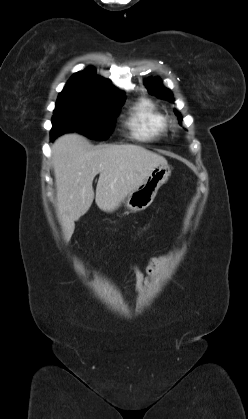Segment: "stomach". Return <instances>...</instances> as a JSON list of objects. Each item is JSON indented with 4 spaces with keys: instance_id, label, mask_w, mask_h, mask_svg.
I'll return each mask as SVG.
<instances>
[{
    "instance_id": "stomach-1",
    "label": "stomach",
    "mask_w": 248,
    "mask_h": 419,
    "mask_svg": "<svg viewBox=\"0 0 248 419\" xmlns=\"http://www.w3.org/2000/svg\"><path fill=\"white\" fill-rule=\"evenodd\" d=\"M169 175L170 167L167 163L155 167L144 182L123 200L125 207L133 212L146 209L153 202L158 189L167 181Z\"/></svg>"
}]
</instances>
